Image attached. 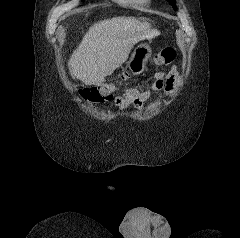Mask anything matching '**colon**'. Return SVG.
I'll use <instances>...</instances> for the list:
<instances>
[{"label": "colon", "mask_w": 240, "mask_h": 238, "mask_svg": "<svg viewBox=\"0 0 240 238\" xmlns=\"http://www.w3.org/2000/svg\"><path fill=\"white\" fill-rule=\"evenodd\" d=\"M175 56V50L171 47H167L155 55L154 62L157 65H168L174 61ZM126 78L127 75H124L123 79ZM116 89L117 86L114 83H102L99 85L85 87L81 89L79 93L88 101L100 103L111 100Z\"/></svg>", "instance_id": "colon-1"}]
</instances>
